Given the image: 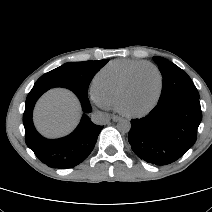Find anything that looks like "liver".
Instances as JSON below:
<instances>
[{
  "label": "liver",
  "instance_id": "liver-1",
  "mask_svg": "<svg viewBox=\"0 0 212 212\" xmlns=\"http://www.w3.org/2000/svg\"><path fill=\"white\" fill-rule=\"evenodd\" d=\"M80 115L79 102L70 91L53 89L38 101L34 111V122L44 136L60 137L77 125Z\"/></svg>",
  "mask_w": 212,
  "mask_h": 212
}]
</instances>
